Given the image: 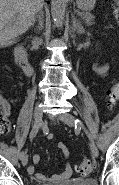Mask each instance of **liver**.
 <instances>
[{"instance_id": "obj_1", "label": "liver", "mask_w": 119, "mask_h": 185, "mask_svg": "<svg viewBox=\"0 0 119 185\" xmlns=\"http://www.w3.org/2000/svg\"><path fill=\"white\" fill-rule=\"evenodd\" d=\"M43 7V0H0V47L25 33Z\"/></svg>"}]
</instances>
